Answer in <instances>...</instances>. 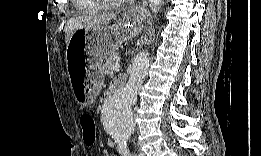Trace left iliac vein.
<instances>
[{
    "label": "left iliac vein",
    "mask_w": 261,
    "mask_h": 156,
    "mask_svg": "<svg viewBox=\"0 0 261 156\" xmlns=\"http://www.w3.org/2000/svg\"><path fill=\"white\" fill-rule=\"evenodd\" d=\"M139 156H144V153L143 152H139Z\"/></svg>",
    "instance_id": "obj_1"
}]
</instances>
